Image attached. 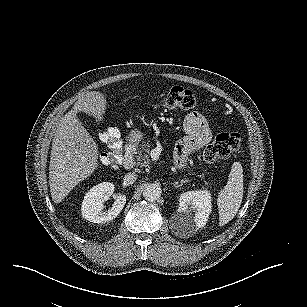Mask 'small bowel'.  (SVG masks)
I'll list each match as a JSON object with an SVG mask.
<instances>
[{
  "label": "small bowel",
  "instance_id": "1",
  "mask_svg": "<svg viewBox=\"0 0 307 307\" xmlns=\"http://www.w3.org/2000/svg\"><path fill=\"white\" fill-rule=\"evenodd\" d=\"M184 130L187 137L177 143L174 153L175 162L180 167L185 165L192 153L206 146L211 140V131L202 113L188 114L184 120Z\"/></svg>",
  "mask_w": 307,
  "mask_h": 307
}]
</instances>
